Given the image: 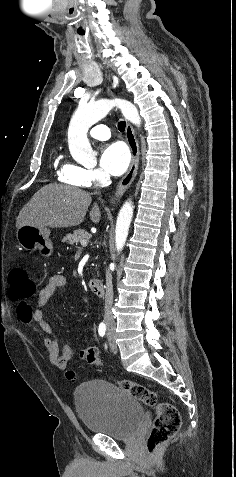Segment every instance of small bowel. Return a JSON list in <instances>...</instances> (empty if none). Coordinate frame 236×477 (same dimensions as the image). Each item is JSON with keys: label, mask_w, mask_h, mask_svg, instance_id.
Wrapping results in <instances>:
<instances>
[{"label": "small bowel", "mask_w": 236, "mask_h": 477, "mask_svg": "<svg viewBox=\"0 0 236 477\" xmlns=\"http://www.w3.org/2000/svg\"><path fill=\"white\" fill-rule=\"evenodd\" d=\"M67 286V279L62 274H55L49 278L45 286L40 290L36 307L25 311L18 316L28 327L33 328L38 333L44 335V347L48 361L55 368L65 369L73 361L76 349L69 345H61L54 334L52 327L45 319L44 306L53 294L60 288ZM95 330V325L93 326ZM98 356L99 350L96 346H90Z\"/></svg>", "instance_id": "small-bowel-1"}]
</instances>
